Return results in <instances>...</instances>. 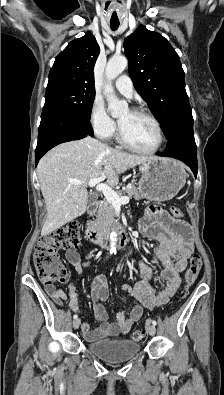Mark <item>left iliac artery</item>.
I'll list each match as a JSON object with an SVG mask.
<instances>
[{
  "label": "left iliac artery",
  "mask_w": 224,
  "mask_h": 395,
  "mask_svg": "<svg viewBox=\"0 0 224 395\" xmlns=\"http://www.w3.org/2000/svg\"><path fill=\"white\" fill-rule=\"evenodd\" d=\"M115 253H116V252H115ZM151 322H152V324H153L154 326L157 324V322H156L155 320H152Z\"/></svg>",
  "instance_id": "1"
}]
</instances>
